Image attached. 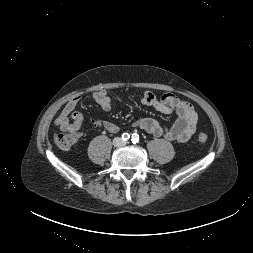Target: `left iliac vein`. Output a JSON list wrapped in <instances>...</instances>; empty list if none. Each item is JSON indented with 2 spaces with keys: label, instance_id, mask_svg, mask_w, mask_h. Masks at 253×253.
Segmentation results:
<instances>
[{
  "label": "left iliac vein",
  "instance_id": "4c4485c4",
  "mask_svg": "<svg viewBox=\"0 0 253 253\" xmlns=\"http://www.w3.org/2000/svg\"><path fill=\"white\" fill-rule=\"evenodd\" d=\"M126 144H127V142H124V143H123V145H126Z\"/></svg>",
  "mask_w": 253,
  "mask_h": 253
}]
</instances>
